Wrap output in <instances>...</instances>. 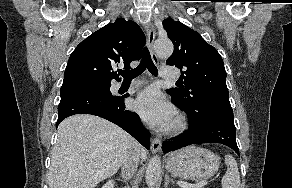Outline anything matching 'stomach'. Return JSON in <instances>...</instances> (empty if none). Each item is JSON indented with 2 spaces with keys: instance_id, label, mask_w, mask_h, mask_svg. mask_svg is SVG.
<instances>
[{
  "instance_id": "stomach-1",
  "label": "stomach",
  "mask_w": 292,
  "mask_h": 188,
  "mask_svg": "<svg viewBox=\"0 0 292 188\" xmlns=\"http://www.w3.org/2000/svg\"><path fill=\"white\" fill-rule=\"evenodd\" d=\"M219 157L208 149L189 146L172 152L166 160L169 172L192 181L213 176L219 169Z\"/></svg>"
}]
</instances>
